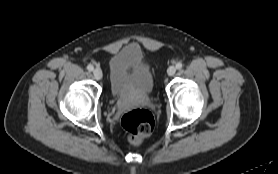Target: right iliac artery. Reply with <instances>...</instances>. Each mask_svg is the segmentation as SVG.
Returning a JSON list of instances; mask_svg holds the SVG:
<instances>
[{
	"label": "right iliac artery",
	"instance_id": "82829eb1",
	"mask_svg": "<svg viewBox=\"0 0 278 174\" xmlns=\"http://www.w3.org/2000/svg\"><path fill=\"white\" fill-rule=\"evenodd\" d=\"M87 69H88L89 71H93L94 67H93V65L89 64V65L87 66Z\"/></svg>",
	"mask_w": 278,
	"mask_h": 174
}]
</instances>
